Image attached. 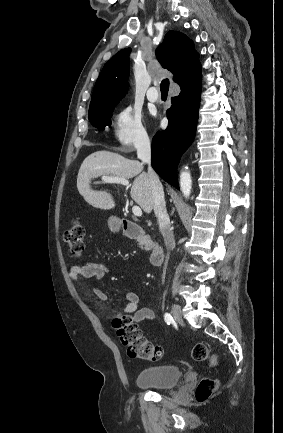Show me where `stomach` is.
<instances>
[{"instance_id":"stomach-1","label":"stomach","mask_w":283,"mask_h":433,"mask_svg":"<svg viewBox=\"0 0 283 433\" xmlns=\"http://www.w3.org/2000/svg\"><path fill=\"white\" fill-rule=\"evenodd\" d=\"M112 223H110L111 231H119L121 229V219H117V217H111Z\"/></svg>"}]
</instances>
